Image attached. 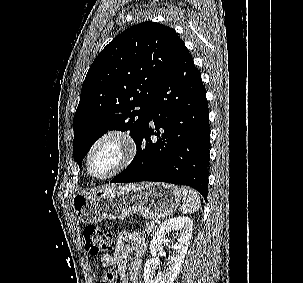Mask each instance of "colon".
<instances>
[{
  "instance_id": "5ec220e1",
  "label": "colon",
  "mask_w": 303,
  "mask_h": 283,
  "mask_svg": "<svg viewBox=\"0 0 303 283\" xmlns=\"http://www.w3.org/2000/svg\"><path fill=\"white\" fill-rule=\"evenodd\" d=\"M83 239L85 249L91 255H98L101 252L110 249L113 245L110 233L94 225H88L84 228ZM107 273L113 278L117 276V271L115 269H111Z\"/></svg>"
}]
</instances>
